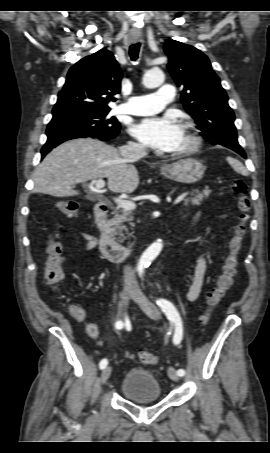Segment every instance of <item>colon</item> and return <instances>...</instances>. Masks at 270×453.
<instances>
[{
	"label": "colon",
	"mask_w": 270,
	"mask_h": 453,
	"mask_svg": "<svg viewBox=\"0 0 270 453\" xmlns=\"http://www.w3.org/2000/svg\"><path fill=\"white\" fill-rule=\"evenodd\" d=\"M232 192L237 197L238 223L234 228V233L229 241L228 254L225 258L215 286L209 291L206 301V310L201 315L200 321L206 324L209 320L212 310L219 305L226 292L233 284V279L236 275L239 264V252L242 247L243 240L247 233L249 212L251 210V201L249 198V189L246 182L242 179H234L231 183ZM58 210L67 219H75L78 216L79 204L73 200H65L58 203ZM59 233H55L47 247V259L45 262V281L51 286L59 285L64 278L63 271V247L60 241ZM71 312L74 317L82 315L81 310L77 306L71 307ZM138 358L145 364H155L156 356L147 351L140 349L137 351Z\"/></svg>",
	"instance_id": "obj_1"
}]
</instances>
